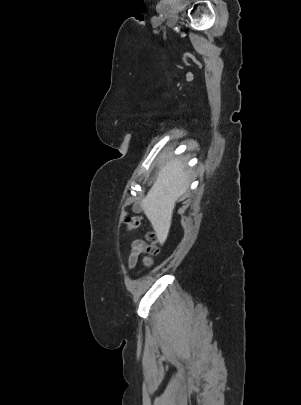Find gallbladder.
I'll return each mask as SVG.
<instances>
[{
    "label": "gallbladder",
    "mask_w": 301,
    "mask_h": 405,
    "mask_svg": "<svg viewBox=\"0 0 301 405\" xmlns=\"http://www.w3.org/2000/svg\"><path fill=\"white\" fill-rule=\"evenodd\" d=\"M142 206L139 202L134 203L133 207H132V211L135 213H140L142 212Z\"/></svg>",
    "instance_id": "bac80fb5"
}]
</instances>
